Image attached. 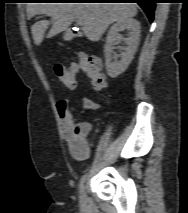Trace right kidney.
Returning a JSON list of instances; mask_svg holds the SVG:
<instances>
[{
	"label": "right kidney",
	"instance_id": "right-kidney-1",
	"mask_svg": "<svg viewBox=\"0 0 188 213\" xmlns=\"http://www.w3.org/2000/svg\"><path fill=\"white\" fill-rule=\"evenodd\" d=\"M127 30L128 38H124L119 32ZM140 40V23L139 21L128 18L118 20L113 24L107 34L106 45H105V65L108 75L111 78H116L122 74L131 63L139 45ZM124 41L127 45L121 49L120 60H112V53L114 46ZM115 58V57H114Z\"/></svg>",
	"mask_w": 188,
	"mask_h": 213
}]
</instances>
